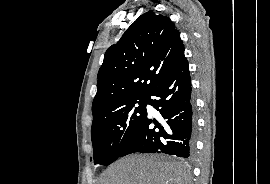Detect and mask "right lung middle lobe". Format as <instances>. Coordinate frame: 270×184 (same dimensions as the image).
I'll use <instances>...</instances> for the list:
<instances>
[{"label": "right lung middle lobe", "instance_id": "dd1d6c3e", "mask_svg": "<svg viewBox=\"0 0 270 184\" xmlns=\"http://www.w3.org/2000/svg\"><path fill=\"white\" fill-rule=\"evenodd\" d=\"M147 97L130 100L91 127L94 163L114 162L147 116Z\"/></svg>", "mask_w": 270, "mask_h": 184}]
</instances>
